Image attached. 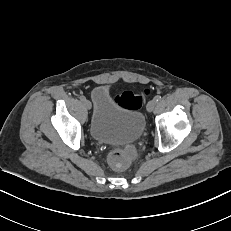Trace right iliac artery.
<instances>
[{
  "label": "right iliac artery",
  "mask_w": 231,
  "mask_h": 231,
  "mask_svg": "<svg viewBox=\"0 0 231 231\" xmlns=\"http://www.w3.org/2000/svg\"><path fill=\"white\" fill-rule=\"evenodd\" d=\"M79 99H80L81 101H84L86 98H85V96L82 95V96L79 97Z\"/></svg>",
  "instance_id": "right-iliac-artery-1"
}]
</instances>
